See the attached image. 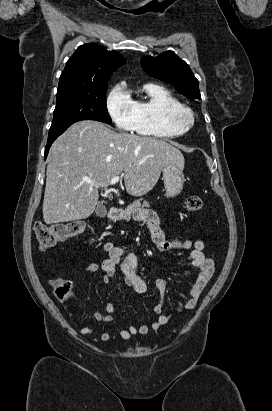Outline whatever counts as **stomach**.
I'll list each match as a JSON object with an SVG mask.
<instances>
[{
    "instance_id": "1",
    "label": "stomach",
    "mask_w": 272,
    "mask_h": 411,
    "mask_svg": "<svg viewBox=\"0 0 272 411\" xmlns=\"http://www.w3.org/2000/svg\"><path fill=\"white\" fill-rule=\"evenodd\" d=\"M161 172L166 196L173 198L180 194L185 182L183 169L178 167L176 164L169 163L162 167Z\"/></svg>"
}]
</instances>
